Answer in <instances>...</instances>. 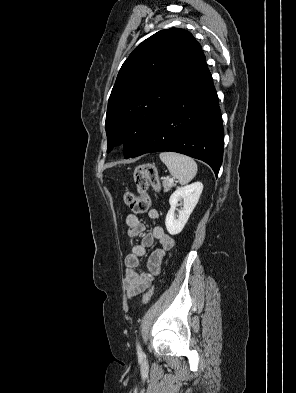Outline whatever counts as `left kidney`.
<instances>
[{"label": "left kidney", "mask_w": 296, "mask_h": 393, "mask_svg": "<svg viewBox=\"0 0 296 393\" xmlns=\"http://www.w3.org/2000/svg\"><path fill=\"white\" fill-rule=\"evenodd\" d=\"M202 191L203 184L201 182H195L184 187H179L172 193L169 199L171 209L168 211L165 220L169 234L176 235L183 230L198 203ZM180 200H183V208L179 211L178 218H176L175 210Z\"/></svg>", "instance_id": "5707ae66"}]
</instances>
